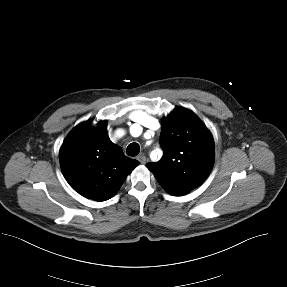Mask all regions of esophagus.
Here are the masks:
<instances>
[{
	"label": "esophagus",
	"instance_id": "1",
	"mask_svg": "<svg viewBox=\"0 0 287 287\" xmlns=\"http://www.w3.org/2000/svg\"><path fill=\"white\" fill-rule=\"evenodd\" d=\"M137 159H138V161H139L141 164H145V163H146V157H145V155H143V154H140Z\"/></svg>",
	"mask_w": 287,
	"mask_h": 287
}]
</instances>
